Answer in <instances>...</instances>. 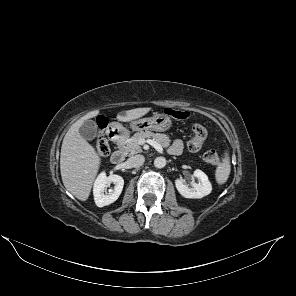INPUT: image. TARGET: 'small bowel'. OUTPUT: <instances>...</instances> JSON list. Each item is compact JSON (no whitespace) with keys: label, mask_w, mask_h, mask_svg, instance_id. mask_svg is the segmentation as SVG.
<instances>
[{"label":"small bowel","mask_w":296,"mask_h":296,"mask_svg":"<svg viewBox=\"0 0 296 296\" xmlns=\"http://www.w3.org/2000/svg\"><path fill=\"white\" fill-rule=\"evenodd\" d=\"M183 150V142L179 139L175 140L169 148V152L173 155H178Z\"/></svg>","instance_id":"c3829d8e"}]
</instances>
